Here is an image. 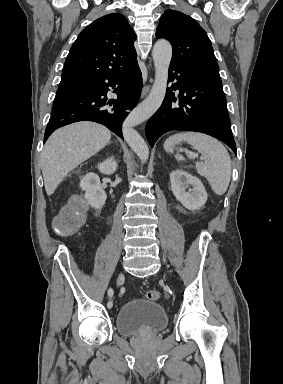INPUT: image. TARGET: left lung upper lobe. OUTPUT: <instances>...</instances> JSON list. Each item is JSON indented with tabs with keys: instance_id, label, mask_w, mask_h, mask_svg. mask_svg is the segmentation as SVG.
<instances>
[{
	"instance_id": "left-lung-upper-lobe-1",
	"label": "left lung upper lobe",
	"mask_w": 283,
	"mask_h": 384,
	"mask_svg": "<svg viewBox=\"0 0 283 384\" xmlns=\"http://www.w3.org/2000/svg\"><path fill=\"white\" fill-rule=\"evenodd\" d=\"M156 37L171 42V65L220 79L219 66L207 33L190 16L166 10L160 18Z\"/></svg>"
}]
</instances>
